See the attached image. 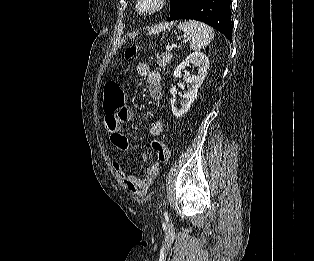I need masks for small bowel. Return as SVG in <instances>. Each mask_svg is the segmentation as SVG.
<instances>
[{"instance_id":"obj_1","label":"small bowel","mask_w":314,"mask_h":261,"mask_svg":"<svg viewBox=\"0 0 314 261\" xmlns=\"http://www.w3.org/2000/svg\"><path fill=\"white\" fill-rule=\"evenodd\" d=\"M136 73L147 79L149 96L154 101H160L163 97L161 75L153 71L147 63L141 62L136 65ZM104 125L110 135L112 145L121 151H127L131 144L127 136L122 132V125L131 121L133 113L130 107L123 105L113 112L105 111ZM163 123L155 120L150 126V135L159 137L163 132ZM144 162L148 161V156L142 157ZM113 170L119 176L128 191L137 195L145 196L154 179L160 172V165L157 162L149 164L145 170L144 177L139 178L127 173L119 163H113Z\"/></svg>"}]
</instances>
